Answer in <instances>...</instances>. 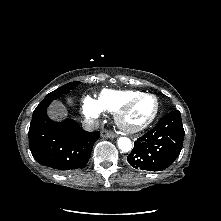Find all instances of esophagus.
<instances>
[{"label": "esophagus", "instance_id": "1", "mask_svg": "<svg viewBox=\"0 0 221 221\" xmlns=\"http://www.w3.org/2000/svg\"><path fill=\"white\" fill-rule=\"evenodd\" d=\"M101 136L103 138H115L116 135L113 132L107 131V130H102L101 131Z\"/></svg>", "mask_w": 221, "mask_h": 221}]
</instances>
